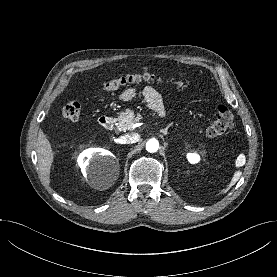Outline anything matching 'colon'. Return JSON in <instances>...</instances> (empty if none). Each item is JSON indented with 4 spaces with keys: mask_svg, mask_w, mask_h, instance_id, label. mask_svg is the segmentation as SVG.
<instances>
[{
    "mask_svg": "<svg viewBox=\"0 0 277 277\" xmlns=\"http://www.w3.org/2000/svg\"><path fill=\"white\" fill-rule=\"evenodd\" d=\"M155 80L162 81L163 77H161L156 71L149 68H145L138 72L130 73L124 76L111 79L104 84L103 89L106 91H112L126 84ZM166 80L171 81L180 86L186 85L189 82L183 73H180L176 77L168 78ZM80 113L81 106L80 103L76 100H71L67 102L62 109L63 116L72 121L77 120L80 116ZM233 121L234 116L231 110L223 104L218 105L216 117L207 127V135L211 137L223 135L232 128Z\"/></svg>",
    "mask_w": 277,
    "mask_h": 277,
    "instance_id": "1",
    "label": "colon"
}]
</instances>
